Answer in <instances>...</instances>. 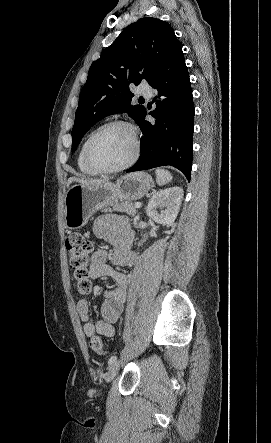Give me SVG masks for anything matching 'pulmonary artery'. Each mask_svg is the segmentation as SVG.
I'll use <instances>...</instances> for the list:
<instances>
[{
    "instance_id": "pulmonary-artery-1",
    "label": "pulmonary artery",
    "mask_w": 271,
    "mask_h": 443,
    "mask_svg": "<svg viewBox=\"0 0 271 443\" xmlns=\"http://www.w3.org/2000/svg\"><path fill=\"white\" fill-rule=\"evenodd\" d=\"M141 93L146 98H151L153 96V90H151V89L146 90V91H142Z\"/></svg>"
}]
</instances>
